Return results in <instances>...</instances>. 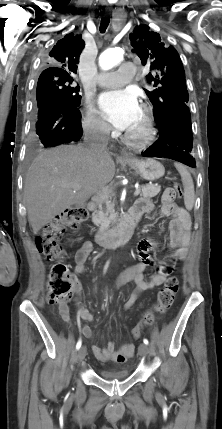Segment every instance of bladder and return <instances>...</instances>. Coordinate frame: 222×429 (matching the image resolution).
I'll list each match as a JSON object with an SVG mask.
<instances>
[{
  "label": "bladder",
  "instance_id": "obj_1",
  "mask_svg": "<svg viewBox=\"0 0 222 429\" xmlns=\"http://www.w3.org/2000/svg\"><path fill=\"white\" fill-rule=\"evenodd\" d=\"M99 375L108 380H123L130 375V372L126 369L104 370Z\"/></svg>",
  "mask_w": 222,
  "mask_h": 429
}]
</instances>
